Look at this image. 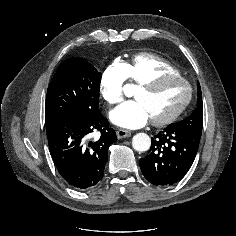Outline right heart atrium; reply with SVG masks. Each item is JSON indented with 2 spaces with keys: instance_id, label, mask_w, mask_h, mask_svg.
<instances>
[{
  "instance_id": "1",
  "label": "right heart atrium",
  "mask_w": 236,
  "mask_h": 236,
  "mask_svg": "<svg viewBox=\"0 0 236 236\" xmlns=\"http://www.w3.org/2000/svg\"><path fill=\"white\" fill-rule=\"evenodd\" d=\"M127 80V66L120 60L113 61L102 72L99 89L102 97L112 105L119 104L124 98V85Z\"/></svg>"
}]
</instances>
